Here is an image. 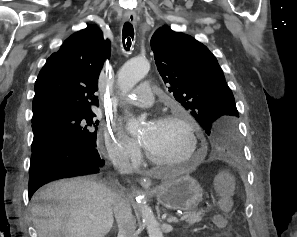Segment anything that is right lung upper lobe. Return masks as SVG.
I'll list each match as a JSON object with an SVG mask.
<instances>
[{"instance_id": "1", "label": "right lung upper lobe", "mask_w": 297, "mask_h": 237, "mask_svg": "<svg viewBox=\"0 0 297 237\" xmlns=\"http://www.w3.org/2000/svg\"><path fill=\"white\" fill-rule=\"evenodd\" d=\"M110 41L90 25L68 38L41 69L35 82L32 121L54 112H92L99 106L97 82Z\"/></svg>"}]
</instances>
